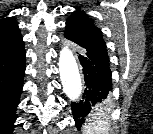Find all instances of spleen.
Masks as SVG:
<instances>
[{
  "mask_svg": "<svg viewBox=\"0 0 153 134\" xmlns=\"http://www.w3.org/2000/svg\"><path fill=\"white\" fill-rule=\"evenodd\" d=\"M109 128L110 124L107 112L97 106L83 126V134H108Z\"/></svg>",
  "mask_w": 153,
  "mask_h": 134,
  "instance_id": "spleen-1",
  "label": "spleen"
}]
</instances>
